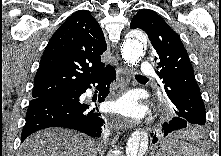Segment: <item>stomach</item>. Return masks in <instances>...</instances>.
<instances>
[{"instance_id":"1","label":"stomach","mask_w":221,"mask_h":156,"mask_svg":"<svg viewBox=\"0 0 221 156\" xmlns=\"http://www.w3.org/2000/svg\"><path fill=\"white\" fill-rule=\"evenodd\" d=\"M151 156H180L177 150L168 144V142L161 143L152 151Z\"/></svg>"}]
</instances>
